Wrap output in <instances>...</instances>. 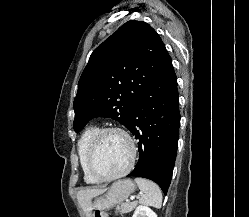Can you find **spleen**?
Returning a JSON list of instances; mask_svg holds the SVG:
<instances>
[{
    "label": "spleen",
    "mask_w": 249,
    "mask_h": 217,
    "mask_svg": "<svg viewBox=\"0 0 249 217\" xmlns=\"http://www.w3.org/2000/svg\"><path fill=\"white\" fill-rule=\"evenodd\" d=\"M135 182L137 183L139 189L143 192L139 202L141 204L161 208L162 192L159 186L150 180L139 177L135 178Z\"/></svg>",
    "instance_id": "spleen-1"
}]
</instances>
